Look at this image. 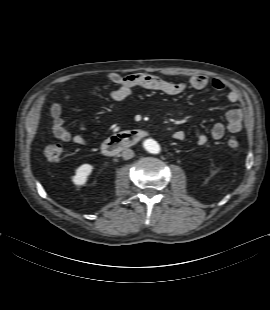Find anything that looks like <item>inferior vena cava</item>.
<instances>
[{
  "label": "inferior vena cava",
  "mask_w": 270,
  "mask_h": 310,
  "mask_svg": "<svg viewBox=\"0 0 270 310\" xmlns=\"http://www.w3.org/2000/svg\"><path fill=\"white\" fill-rule=\"evenodd\" d=\"M122 157L125 160H129L134 157V152L131 149H124L122 152Z\"/></svg>",
  "instance_id": "obj_1"
}]
</instances>
